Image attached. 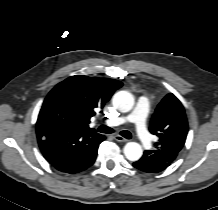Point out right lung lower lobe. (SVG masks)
Here are the masks:
<instances>
[{
    "label": "right lung lower lobe",
    "instance_id": "1",
    "mask_svg": "<svg viewBox=\"0 0 218 210\" xmlns=\"http://www.w3.org/2000/svg\"><path fill=\"white\" fill-rule=\"evenodd\" d=\"M40 150L58 171L75 174L86 170L96 159L99 144L105 139L94 130L81 131L54 125L36 127Z\"/></svg>",
    "mask_w": 218,
    "mask_h": 210
}]
</instances>
